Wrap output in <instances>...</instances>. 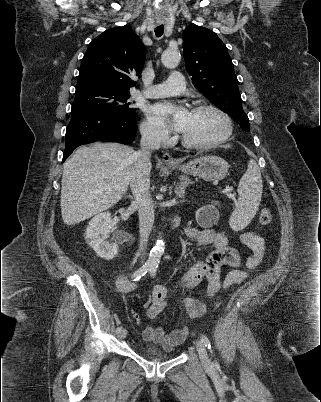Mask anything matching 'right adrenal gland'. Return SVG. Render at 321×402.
<instances>
[{
	"label": "right adrenal gland",
	"mask_w": 321,
	"mask_h": 402,
	"mask_svg": "<svg viewBox=\"0 0 321 402\" xmlns=\"http://www.w3.org/2000/svg\"><path fill=\"white\" fill-rule=\"evenodd\" d=\"M126 198H130V199H132V196H131V195H129V196H126Z\"/></svg>",
	"instance_id": "right-adrenal-gland-1"
}]
</instances>
